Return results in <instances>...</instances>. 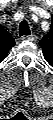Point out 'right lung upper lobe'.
I'll list each match as a JSON object with an SVG mask.
<instances>
[{
    "label": "right lung upper lobe",
    "instance_id": "obj_1",
    "mask_svg": "<svg viewBox=\"0 0 53 120\" xmlns=\"http://www.w3.org/2000/svg\"><path fill=\"white\" fill-rule=\"evenodd\" d=\"M15 45V40L12 35L3 27L0 29V62L3 61L9 50Z\"/></svg>",
    "mask_w": 53,
    "mask_h": 120
}]
</instances>
